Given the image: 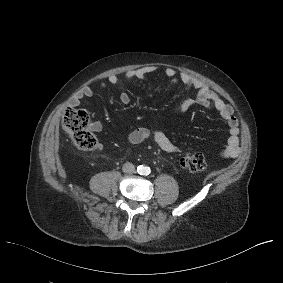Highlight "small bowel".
I'll use <instances>...</instances> for the list:
<instances>
[{
    "label": "small bowel",
    "mask_w": 283,
    "mask_h": 283,
    "mask_svg": "<svg viewBox=\"0 0 283 283\" xmlns=\"http://www.w3.org/2000/svg\"><path fill=\"white\" fill-rule=\"evenodd\" d=\"M155 70V66H145L129 70L125 76L127 79H142ZM165 76L173 83L180 82L196 91L195 97L188 98L183 101V111H187L194 105H201L206 108L213 109L220 114V116L226 121L229 129V138L226 145L221 150V156L224 158H233L238 156L240 153L239 121L234 114L233 107L225 102L216 92L210 89L197 77L186 72L177 73V71L173 68L166 69ZM117 83L118 77L116 75H111L106 81L101 82L97 88L105 89ZM94 91L95 87L85 86L72 97L70 101L71 106H79L84 99L91 97L94 94ZM119 100L122 104L126 105L130 102V96L127 93H121ZM90 130L93 132H100L102 130L101 123L98 121L92 122L90 124ZM149 137H152L155 143L165 152L177 153L181 151V149L172 142L164 132L160 130L151 131L146 127H140L130 132L127 136V141L130 144L135 145L143 142Z\"/></svg>",
    "instance_id": "1"
}]
</instances>
